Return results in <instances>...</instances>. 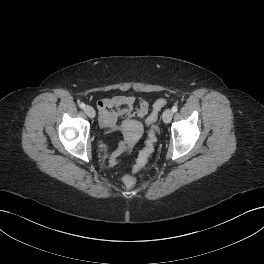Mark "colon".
Segmentation results:
<instances>
[{
    "mask_svg": "<svg viewBox=\"0 0 264 264\" xmlns=\"http://www.w3.org/2000/svg\"><path fill=\"white\" fill-rule=\"evenodd\" d=\"M165 98H159L153 105L152 112L146 119L148 127V135L145 143V147L141 150L138 156L137 163L134 167L133 173L127 174L123 178V183L126 187L130 188L134 186L136 182L135 173L141 170L147 163V160L154 150L156 143V121L158 119L159 112L166 104Z\"/></svg>",
    "mask_w": 264,
    "mask_h": 264,
    "instance_id": "obj_1",
    "label": "colon"
}]
</instances>
